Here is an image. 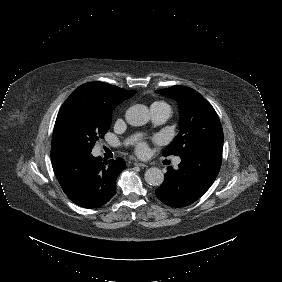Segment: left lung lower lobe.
Instances as JSON below:
<instances>
[{
	"label": "left lung lower lobe",
	"instance_id": "0a47b994",
	"mask_svg": "<svg viewBox=\"0 0 282 282\" xmlns=\"http://www.w3.org/2000/svg\"><path fill=\"white\" fill-rule=\"evenodd\" d=\"M222 149L202 147L181 156L179 169L168 167L165 180L155 191L166 205L185 207L199 199L219 173Z\"/></svg>",
	"mask_w": 282,
	"mask_h": 282
}]
</instances>
